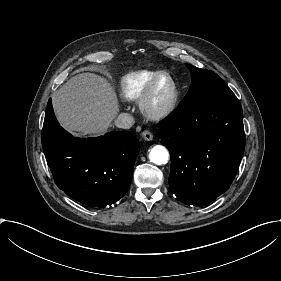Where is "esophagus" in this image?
Returning a JSON list of instances; mask_svg holds the SVG:
<instances>
[{
    "instance_id": "1",
    "label": "esophagus",
    "mask_w": 281,
    "mask_h": 281,
    "mask_svg": "<svg viewBox=\"0 0 281 281\" xmlns=\"http://www.w3.org/2000/svg\"><path fill=\"white\" fill-rule=\"evenodd\" d=\"M141 135L146 141H151L153 139V134L148 130H144Z\"/></svg>"
}]
</instances>
